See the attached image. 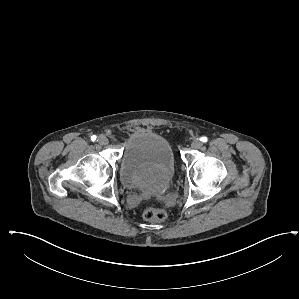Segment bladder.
Returning a JSON list of instances; mask_svg holds the SVG:
<instances>
[{
	"label": "bladder",
	"instance_id": "bladder-1",
	"mask_svg": "<svg viewBox=\"0 0 299 299\" xmlns=\"http://www.w3.org/2000/svg\"><path fill=\"white\" fill-rule=\"evenodd\" d=\"M173 148L164 136L151 131L132 133L123 149L119 176L129 188L163 193L175 173Z\"/></svg>",
	"mask_w": 299,
	"mask_h": 299
}]
</instances>
